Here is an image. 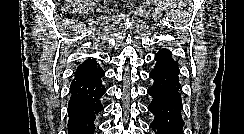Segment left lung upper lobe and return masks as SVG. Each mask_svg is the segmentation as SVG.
Listing matches in <instances>:
<instances>
[{"label":"left lung upper lobe","mask_w":244,"mask_h":134,"mask_svg":"<svg viewBox=\"0 0 244 134\" xmlns=\"http://www.w3.org/2000/svg\"><path fill=\"white\" fill-rule=\"evenodd\" d=\"M156 64L150 72L154 78L162 85L178 86L179 83V68L178 62L172 59V54L167 49L160 50L156 56Z\"/></svg>","instance_id":"5c2ea615"}]
</instances>
